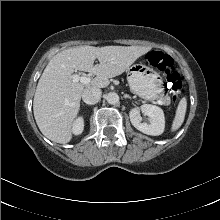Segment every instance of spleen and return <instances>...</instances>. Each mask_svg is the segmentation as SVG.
Instances as JSON below:
<instances>
[{"label": "spleen", "instance_id": "1", "mask_svg": "<svg viewBox=\"0 0 220 220\" xmlns=\"http://www.w3.org/2000/svg\"><path fill=\"white\" fill-rule=\"evenodd\" d=\"M186 110H187V99L183 97L179 101L177 109H176L175 117L173 119L172 126H171L172 132L177 131L183 124Z\"/></svg>", "mask_w": 220, "mask_h": 220}]
</instances>
